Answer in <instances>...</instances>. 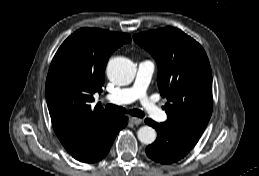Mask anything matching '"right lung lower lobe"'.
I'll return each instance as SVG.
<instances>
[{
	"label": "right lung lower lobe",
	"instance_id": "98d812e1",
	"mask_svg": "<svg viewBox=\"0 0 259 176\" xmlns=\"http://www.w3.org/2000/svg\"><path fill=\"white\" fill-rule=\"evenodd\" d=\"M128 118L114 115L110 125L81 151L71 154L84 163H94L103 159L109 152L117 133L127 125Z\"/></svg>",
	"mask_w": 259,
	"mask_h": 176
}]
</instances>
